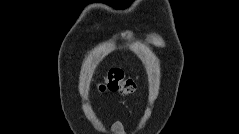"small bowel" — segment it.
<instances>
[{"instance_id":"1","label":"small bowel","mask_w":239,"mask_h":134,"mask_svg":"<svg viewBox=\"0 0 239 134\" xmlns=\"http://www.w3.org/2000/svg\"><path fill=\"white\" fill-rule=\"evenodd\" d=\"M113 128L116 130V131H119L121 133H123V129H122V124L121 122L117 121L113 124Z\"/></svg>"}]
</instances>
